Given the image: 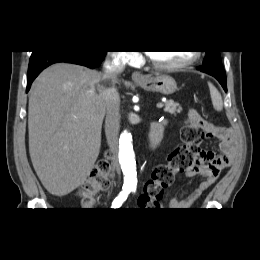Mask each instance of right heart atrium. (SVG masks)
Instances as JSON below:
<instances>
[{
  "label": "right heart atrium",
  "mask_w": 260,
  "mask_h": 260,
  "mask_svg": "<svg viewBox=\"0 0 260 260\" xmlns=\"http://www.w3.org/2000/svg\"><path fill=\"white\" fill-rule=\"evenodd\" d=\"M118 58L122 62L133 63V62L138 61L139 56H138V54L133 53V52H121V53H119Z\"/></svg>",
  "instance_id": "d8ad5b80"
}]
</instances>
